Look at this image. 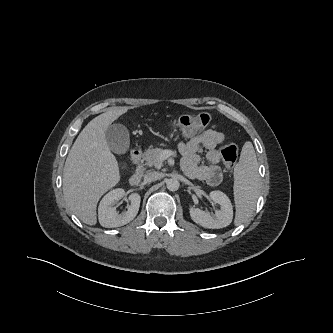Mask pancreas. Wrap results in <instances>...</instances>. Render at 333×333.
<instances>
[{
	"label": "pancreas",
	"mask_w": 333,
	"mask_h": 333,
	"mask_svg": "<svg viewBox=\"0 0 333 333\" xmlns=\"http://www.w3.org/2000/svg\"><path fill=\"white\" fill-rule=\"evenodd\" d=\"M162 150L160 148L147 149L144 152V160L146 165L155 168H161L163 159L161 158Z\"/></svg>",
	"instance_id": "1"
}]
</instances>
